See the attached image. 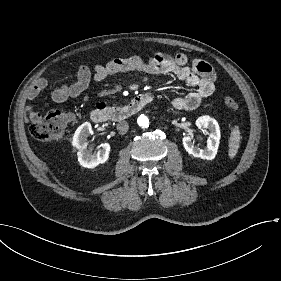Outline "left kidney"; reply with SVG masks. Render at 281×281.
I'll list each match as a JSON object with an SVG mask.
<instances>
[{
	"label": "left kidney",
	"mask_w": 281,
	"mask_h": 281,
	"mask_svg": "<svg viewBox=\"0 0 281 281\" xmlns=\"http://www.w3.org/2000/svg\"><path fill=\"white\" fill-rule=\"evenodd\" d=\"M198 128L209 129L210 134L207 139V146L204 149L194 146L190 136L183 137V146L185 150L193 155L194 157H199L202 159L212 160L217 154L220 141V128L218 122L208 115L199 117L196 122Z\"/></svg>",
	"instance_id": "left-kidney-1"
}]
</instances>
